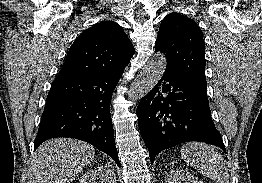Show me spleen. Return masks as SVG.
<instances>
[{
    "mask_svg": "<svg viewBox=\"0 0 262 183\" xmlns=\"http://www.w3.org/2000/svg\"><path fill=\"white\" fill-rule=\"evenodd\" d=\"M182 159L203 176L216 183H229V174L221 154L212 146L190 142L180 150Z\"/></svg>",
    "mask_w": 262,
    "mask_h": 183,
    "instance_id": "spleen-1",
    "label": "spleen"
}]
</instances>
